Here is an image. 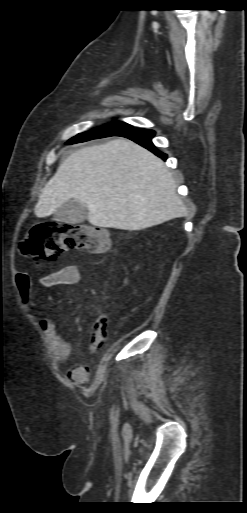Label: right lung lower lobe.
<instances>
[{
  "mask_svg": "<svg viewBox=\"0 0 247 513\" xmlns=\"http://www.w3.org/2000/svg\"><path fill=\"white\" fill-rule=\"evenodd\" d=\"M154 131L148 130V129H139V128H128L114 136H122L129 138L136 143L140 144L141 146L147 148L163 160H166L167 155L160 152L152 143L151 139L154 136ZM67 144H72V142L68 141Z\"/></svg>",
  "mask_w": 247,
  "mask_h": 513,
  "instance_id": "right-lung-lower-lobe-1",
  "label": "right lung lower lobe"
}]
</instances>
